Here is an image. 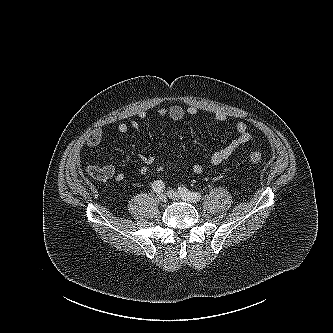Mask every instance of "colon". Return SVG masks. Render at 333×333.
Masks as SVG:
<instances>
[{"mask_svg": "<svg viewBox=\"0 0 333 333\" xmlns=\"http://www.w3.org/2000/svg\"><path fill=\"white\" fill-rule=\"evenodd\" d=\"M249 158H250V161L253 165H259L262 162L261 154L258 151H255V150L250 151ZM163 170H165V166L163 164H158L153 169V171L156 172V173H160Z\"/></svg>", "mask_w": 333, "mask_h": 333, "instance_id": "5ec220e1", "label": "colon"}]
</instances>
